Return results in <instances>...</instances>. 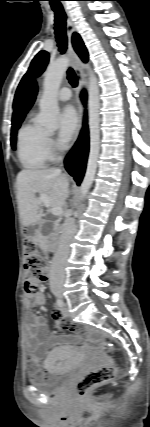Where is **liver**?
I'll return each instance as SVG.
<instances>
[{
	"instance_id": "obj_1",
	"label": "liver",
	"mask_w": 150,
	"mask_h": 427,
	"mask_svg": "<svg viewBox=\"0 0 150 427\" xmlns=\"http://www.w3.org/2000/svg\"><path fill=\"white\" fill-rule=\"evenodd\" d=\"M36 193L47 195L52 208H62L69 195V178L59 169H24L18 173V208L26 227L38 224L43 215Z\"/></svg>"
}]
</instances>
